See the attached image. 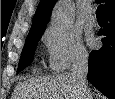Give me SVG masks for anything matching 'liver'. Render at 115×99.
<instances>
[{"mask_svg":"<svg viewBox=\"0 0 115 99\" xmlns=\"http://www.w3.org/2000/svg\"><path fill=\"white\" fill-rule=\"evenodd\" d=\"M80 97L71 73L33 77L19 82L12 95V99H81Z\"/></svg>","mask_w":115,"mask_h":99,"instance_id":"obj_1","label":"liver"}]
</instances>
